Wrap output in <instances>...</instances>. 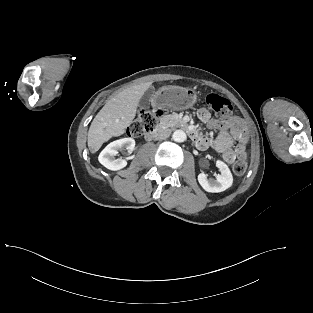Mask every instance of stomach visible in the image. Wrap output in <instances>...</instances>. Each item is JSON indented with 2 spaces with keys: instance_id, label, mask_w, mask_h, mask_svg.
Returning a JSON list of instances; mask_svg holds the SVG:
<instances>
[{
  "instance_id": "obj_1",
  "label": "stomach",
  "mask_w": 313,
  "mask_h": 313,
  "mask_svg": "<svg viewBox=\"0 0 313 313\" xmlns=\"http://www.w3.org/2000/svg\"><path fill=\"white\" fill-rule=\"evenodd\" d=\"M197 101V92L190 87L164 86L153 98V105L158 108L184 110Z\"/></svg>"
}]
</instances>
